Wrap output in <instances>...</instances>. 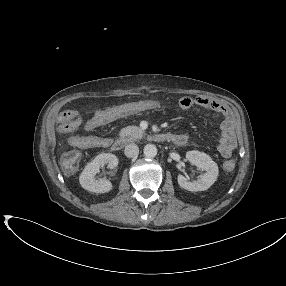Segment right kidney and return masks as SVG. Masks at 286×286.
<instances>
[{
	"label": "right kidney",
	"instance_id": "ca27d5eb",
	"mask_svg": "<svg viewBox=\"0 0 286 286\" xmlns=\"http://www.w3.org/2000/svg\"><path fill=\"white\" fill-rule=\"evenodd\" d=\"M105 164H108V168L114 169L118 165V158L111 153H102L96 156L81 172L79 177L80 185L84 189L95 193H106L112 190V183L109 180L95 178L100 167Z\"/></svg>",
	"mask_w": 286,
	"mask_h": 286
}]
</instances>
